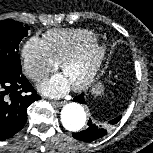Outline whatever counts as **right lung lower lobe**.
Segmentation results:
<instances>
[{"label":"right lung lower lobe","mask_w":153,"mask_h":153,"mask_svg":"<svg viewBox=\"0 0 153 153\" xmlns=\"http://www.w3.org/2000/svg\"><path fill=\"white\" fill-rule=\"evenodd\" d=\"M39 99L24 75L0 67V140L8 139L23 128L27 108Z\"/></svg>","instance_id":"right-lung-lower-lobe-1"}]
</instances>
